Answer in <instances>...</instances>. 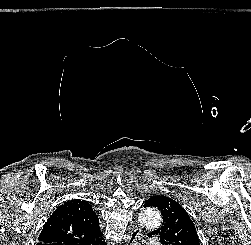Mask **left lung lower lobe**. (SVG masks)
I'll return each mask as SVG.
<instances>
[{
    "label": "left lung lower lobe",
    "mask_w": 251,
    "mask_h": 245,
    "mask_svg": "<svg viewBox=\"0 0 251 245\" xmlns=\"http://www.w3.org/2000/svg\"><path fill=\"white\" fill-rule=\"evenodd\" d=\"M152 234L150 233L148 236L150 237ZM162 243V242H161ZM163 244V243H162ZM163 245H165V244H163Z\"/></svg>",
    "instance_id": "0a47b994"
}]
</instances>
